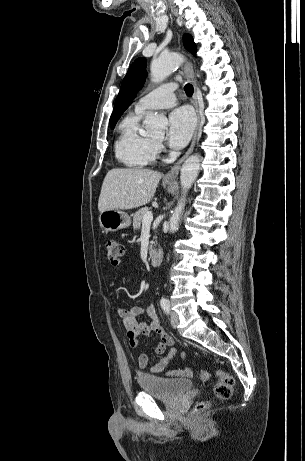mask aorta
<instances>
[{"mask_svg":"<svg viewBox=\"0 0 305 461\" xmlns=\"http://www.w3.org/2000/svg\"><path fill=\"white\" fill-rule=\"evenodd\" d=\"M183 62V57L178 53H169L161 55L151 63V80L153 82H161L169 76ZM144 124L147 132L152 136H163L164 130L167 127V119L164 116L154 112H149L144 119ZM200 169L199 155H192L186 159L181 168L180 184L183 191V196L178 202L177 207L172 212L169 220V230L174 232L178 229L179 221L185 206L186 193L191 188L193 182L197 178Z\"/></svg>","mask_w":305,"mask_h":461,"instance_id":"obj_1","label":"aorta"}]
</instances>
